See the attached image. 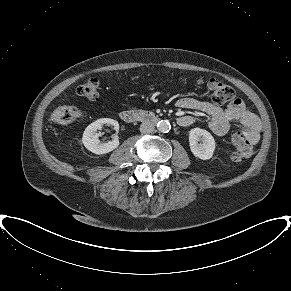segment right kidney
I'll return each instance as SVG.
<instances>
[{
    "mask_svg": "<svg viewBox=\"0 0 291 291\" xmlns=\"http://www.w3.org/2000/svg\"><path fill=\"white\" fill-rule=\"evenodd\" d=\"M104 124L112 125L117 132L119 131V124L116 120L102 118L91 123L85 129L82 137V143L84 144L85 148L97 155L109 153L119 146L118 136H114L113 140L109 141L108 143H100L97 130H100Z\"/></svg>",
    "mask_w": 291,
    "mask_h": 291,
    "instance_id": "1",
    "label": "right kidney"
}]
</instances>
